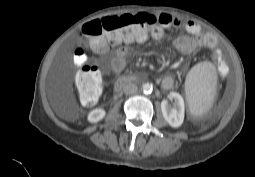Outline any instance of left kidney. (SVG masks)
Segmentation results:
<instances>
[{
  "instance_id": "1",
  "label": "left kidney",
  "mask_w": 255,
  "mask_h": 177,
  "mask_svg": "<svg viewBox=\"0 0 255 177\" xmlns=\"http://www.w3.org/2000/svg\"><path fill=\"white\" fill-rule=\"evenodd\" d=\"M168 97L174 99L175 104L173 107H170L167 100L161 102L163 117L171 127H180L184 120V99L177 92H171Z\"/></svg>"
}]
</instances>
